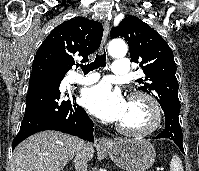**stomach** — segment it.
<instances>
[{
	"label": "stomach",
	"mask_w": 199,
	"mask_h": 171,
	"mask_svg": "<svg viewBox=\"0 0 199 171\" xmlns=\"http://www.w3.org/2000/svg\"><path fill=\"white\" fill-rule=\"evenodd\" d=\"M102 150L111 160L125 171H146L156 157L153 145L146 139H117Z\"/></svg>",
	"instance_id": "obj_1"
}]
</instances>
